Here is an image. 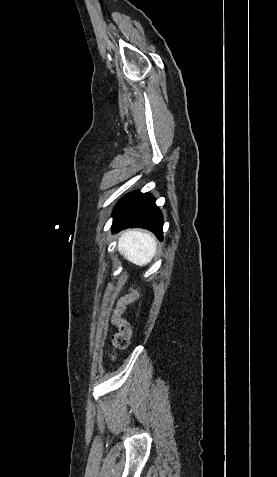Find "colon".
<instances>
[{"instance_id": "1", "label": "colon", "mask_w": 277, "mask_h": 477, "mask_svg": "<svg viewBox=\"0 0 277 477\" xmlns=\"http://www.w3.org/2000/svg\"><path fill=\"white\" fill-rule=\"evenodd\" d=\"M141 301V291L137 286H131L124 295L117 300L115 310L112 312L111 323L114 326H119V331L112 339V345L115 350L126 349L129 345L131 328L130 325L123 318V313L131 304H138Z\"/></svg>"}]
</instances>
